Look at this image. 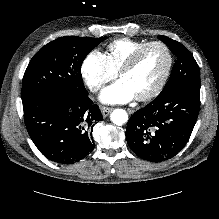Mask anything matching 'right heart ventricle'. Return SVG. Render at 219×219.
<instances>
[{
	"instance_id": "obj_1",
	"label": "right heart ventricle",
	"mask_w": 219,
	"mask_h": 219,
	"mask_svg": "<svg viewBox=\"0 0 219 219\" xmlns=\"http://www.w3.org/2000/svg\"><path fill=\"white\" fill-rule=\"evenodd\" d=\"M146 43V41L134 40L128 37L111 41L107 45L105 55L112 69L117 72L124 62Z\"/></svg>"
}]
</instances>
